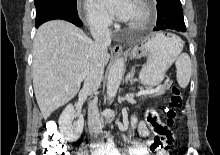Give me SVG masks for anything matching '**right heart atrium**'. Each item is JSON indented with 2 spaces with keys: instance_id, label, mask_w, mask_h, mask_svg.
I'll use <instances>...</instances> for the list:
<instances>
[{
  "instance_id": "1",
  "label": "right heart atrium",
  "mask_w": 220,
  "mask_h": 155,
  "mask_svg": "<svg viewBox=\"0 0 220 155\" xmlns=\"http://www.w3.org/2000/svg\"><path fill=\"white\" fill-rule=\"evenodd\" d=\"M84 18L88 26L96 30H106L111 25L110 16L100 9L93 0H85Z\"/></svg>"
}]
</instances>
